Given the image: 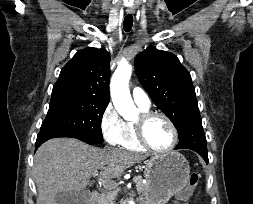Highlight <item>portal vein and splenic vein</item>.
I'll return each mask as SVG.
<instances>
[{"mask_svg":"<svg viewBox=\"0 0 253 204\" xmlns=\"http://www.w3.org/2000/svg\"><path fill=\"white\" fill-rule=\"evenodd\" d=\"M96 176H98V172H96V173L93 174V177H96ZM138 180H139V177H138V176H135V177L133 178V182H137ZM103 184H104V182H103Z\"/></svg>","mask_w":253,"mask_h":204,"instance_id":"1","label":"portal vein and splenic vein"}]
</instances>
